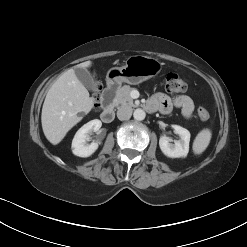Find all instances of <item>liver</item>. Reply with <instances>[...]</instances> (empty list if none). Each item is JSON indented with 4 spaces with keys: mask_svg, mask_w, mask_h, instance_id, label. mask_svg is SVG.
Instances as JSON below:
<instances>
[{
    "mask_svg": "<svg viewBox=\"0 0 247 247\" xmlns=\"http://www.w3.org/2000/svg\"><path fill=\"white\" fill-rule=\"evenodd\" d=\"M92 65L86 61L75 68ZM94 105L86 87L77 78L74 69L64 72L47 92L42 107L41 123L47 140L57 145L88 114Z\"/></svg>",
    "mask_w": 247,
    "mask_h": 247,
    "instance_id": "1",
    "label": "liver"
}]
</instances>
